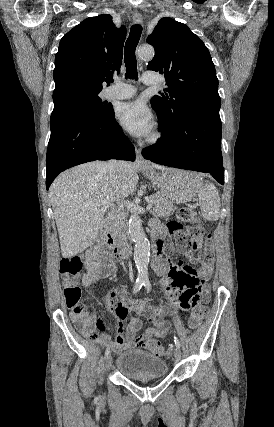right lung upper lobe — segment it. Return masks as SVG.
<instances>
[{"label":"right lung upper lobe","instance_id":"right-lung-upper-lobe-1","mask_svg":"<svg viewBox=\"0 0 274 427\" xmlns=\"http://www.w3.org/2000/svg\"><path fill=\"white\" fill-rule=\"evenodd\" d=\"M126 28L119 29L111 15L82 21L63 36L55 56L54 104L68 95L99 93L104 81L120 73Z\"/></svg>","mask_w":274,"mask_h":427}]
</instances>
